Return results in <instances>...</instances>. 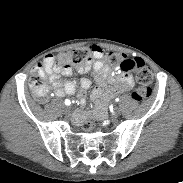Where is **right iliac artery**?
I'll return each instance as SVG.
<instances>
[{"label": "right iliac artery", "instance_id": "82829eb1", "mask_svg": "<svg viewBox=\"0 0 183 183\" xmlns=\"http://www.w3.org/2000/svg\"><path fill=\"white\" fill-rule=\"evenodd\" d=\"M65 104H66V105H70V104H71L70 100L66 99V100H65Z\"/></svg>", "mask_w": 183, "mask_h": 183}]
</instances>
